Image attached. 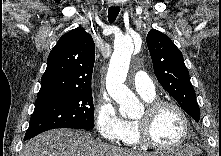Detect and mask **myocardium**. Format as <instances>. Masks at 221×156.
<instances>
[{"label": "myocardium", "mask_w": 221, "mask_h": 156, "mask_svg": "<svg viewBox=\"0 0 221 156\" xmlns=\"http://www.w3.org/2000/svg\"><path fill=\"white\" fill-rule=\"evenodd\" d=\"M164 108H172L178 112L184 123V133L181 139L174 145H162L153 140L151 136V125L157 114ZM136 137L140 144L158 150H174L182 146L190 137L191 122L186 111L176 102L170 100H155L149 103L145 115L135 121Z\"/></svg>", "instance_id": "1"}]
</instances>
